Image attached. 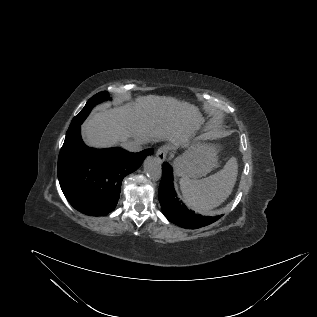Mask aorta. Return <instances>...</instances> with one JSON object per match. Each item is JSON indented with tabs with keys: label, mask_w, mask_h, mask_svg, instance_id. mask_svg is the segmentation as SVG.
I'll return each mask as SVG.
<instances>
[{
	"label": "aorta",
	"mask_w": 317,
	"mask_h": 317,
	"mask_svg": "<svg viewBox=\"0 0 317 317\" xmlns=\"http://www.w3.org/2000/svg\"><path fill=\"white\" fill-rule=\"evenodd\" d=\"M144 172L147 176L154 180L158 181L162 176V166L161 161L154 156H147L143 162Z\"/></svg>",
	"instance_id": "obj_1"
}]
</instances>
